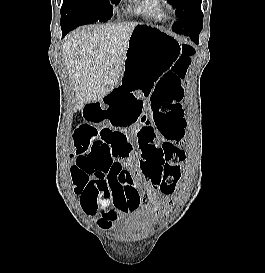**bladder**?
Wrapping results in <instances>:
<instances>
[{
    "label": "bladder",
    "mask_w": 265,
    "mask_h": 273,
    "mask_svg": "<svg viewBox=\"0 0 265 273\" xmlns=\"http://www.w3.org/2000/svg\"><path fill=\"white\" fill-rule=\"evenodd\" d=\"M155 220L141 209L130 211L127 214V221L121 232L125 237H138L148 234L154 227Z\"/></svg>",
    "instance_id": "31cf9c89"
}]
</instances>
